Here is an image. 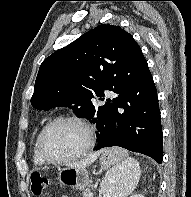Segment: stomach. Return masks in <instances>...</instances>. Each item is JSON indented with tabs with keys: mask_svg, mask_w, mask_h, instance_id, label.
I'll list each match as a JSON object with an SVG mask.
<instances>
[{
	"mask_svg": "<svg viewBox=\"0 0 191 197\" xmlns=\"http://www.w3.org/2000/svg\"><path fill=\"white\" fill-rule=\"evenodd\" d=\"M119 161L118 156L109 149L104 150L100 157V165L104 169L115 166ZM58 179L64 186L84 190L89 185V176L85 168L65 167L59 171Z\"/></svg>",
	"mask_w": 191,
	"mask_h": 197,
	"instance_id": "1",
	"label": "stomach"
}]
</instances>
